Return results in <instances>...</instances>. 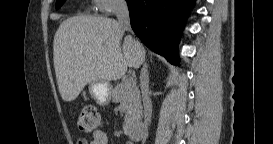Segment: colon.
Instances as JSON below:
<instances>
[{"mask_svg":"<svg viewBox=\"0 0 273 144\" xmlns=\"http://www.w3.org/2000/svg\"><path fill=\"white\" fill-rule=\"evenodd\" d=\"M101 125V116L93 105L82 107L77 119V128L80 132L90 134L96 132Z\"/></svg>","mask_w":273,"mask_h":144,"instance_id":"1","label":"colon"}]
</instances>
